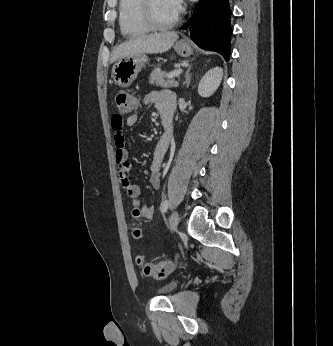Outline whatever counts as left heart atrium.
Instances as JSON below:
<instances>
[{
  "instance_id": "obj_1",
  "label": "left heart atrium",
  "mask_w": 333,
  "mask_h": 346,
  "mask_svg": "<svg viewBox=\"0 0 333 346\" xmlns=\"http://www.w3.org/2000/svg\"><path fill=\"white\" fill-rule=\"evenodd\" d=\"M171 8L178 13L181 10L183 0H167Z\"/></svg>"
}]
</instances>
